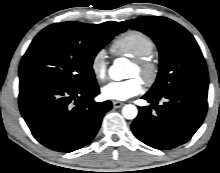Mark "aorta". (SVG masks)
<instances>
[{
    "mask_svg": "<svg viewBox=\"0 0 220 173\" xmlns=\"http://www.w3.org/2000/svg\"><path fill=\"white\" fill-rule=\"evenodd\" d=\"M123 67H124L123 60L115 61L114 65L111 66L109 69L110 77L116 81L122 80L125 77ZM122 114L126 119H134L138 114V110L134 105L128 104L123 107Z\"/></svg>",
    "mask_w": 220,
    "mask_h": 173,
    "instance_id": "762f6f07",
    "label": "aorta"
}]
</instances>
